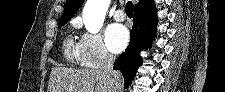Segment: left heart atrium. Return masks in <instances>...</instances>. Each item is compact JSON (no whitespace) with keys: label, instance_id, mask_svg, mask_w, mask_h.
<instances>
[{"label":"left heart atrium","instance_id":"obj_1","mask_svg":"<svg viewBox=\"0 0 225 92\" xmlns=\"http://www.w3.org/2000/svg\"><path fill=\"white\" fill-rule=\"evenodd\" d=\"M108 49L113 53L121 52L129 41V34L126 27L120 24H113L108 27L105 35Z\"/></svg>","mask_w":225,"mask_h":92}]
</instances>
